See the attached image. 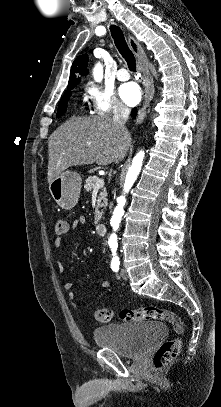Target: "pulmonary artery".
<instances>
[{
	"mask_svg": "<svg viewBox=\"0 0 221 407\" xmlns=\"http://www.w3.org/2000/svg\"><path fill=\"white\" fill-rule=\"evenodd\" d=\"M116 77L120 81H126L130 78V75L125 67H121L118 69Z\"/></svg>",
	"mask_w": 221,
	"mask_h": 407,
	"instance_id": "pulmonary-artery-1",
	"label": "pulmonary artery"
}]
</instances>
